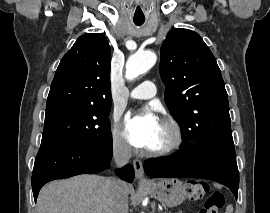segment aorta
<instances>
[{
    "instance_id": "1",
    "label": "aorta",
    "mask_w": 270,
    "mask_h": 213,
    "mask_svg": "<svg viewBox=\"0 0 270 213\" xmlns=\"http://www.w3.org/2000/svg\"><path fill=\"white\" fill-rule=\"evenodd\" d=\"M157 60V56L152 51L137 52L129 57L126 63L125 77L133 80L139 75L146 73L152 68Z\"/></svg>"
}]
</instances>
